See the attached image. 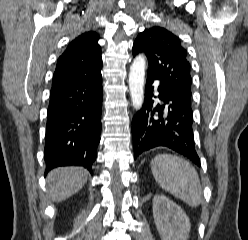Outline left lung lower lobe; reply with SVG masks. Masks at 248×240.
Listing matches in <instances>:
<instances>
[{
    "label": "left lung lower lobe",
    "instance_id": "left-lung-lower-lobe-1",
    "mask_svg": "<svg viewBox=\"0 0 248 240\" xmlns=\"http://www.w3.org/2000/svg\"><path fill=\"white\" fill-rule=\"evenodd\" d=\"M155 80L147 76L144 104L132 121L134 158L151 148L164 146L200 165L192 129L191 100L179 97L160 83L158 98L163 104H156L152 99Z\"/></svg>",
    "mask_w": 248,
    "mask_h": 240
}]
</instances>
